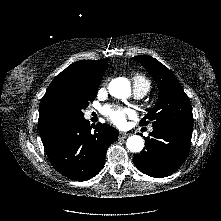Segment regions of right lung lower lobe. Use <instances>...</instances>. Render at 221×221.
Returning <instances> with one entry per match:
<instances>
[{"label": "right lung lower lobe", "instance_id": "obj_1", "mask_svg": "<svg viewBox=\"0 0 221 221\" xmlns=\"http://www.w3.org/2000/svg\"><path fill=\"white\" fill-rule=\"evenodd\" d=\"M91 129L83 117L41 136L53 167L67 178L85 181L98 174L107 148L118 139V131L106 123Z\"/></svg>", "mask_w": 221, "mask_h": 221}]
</instances>
